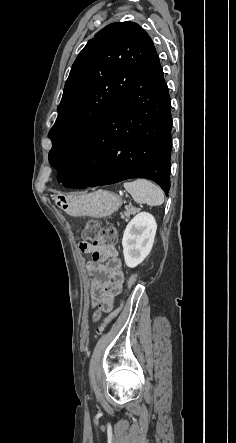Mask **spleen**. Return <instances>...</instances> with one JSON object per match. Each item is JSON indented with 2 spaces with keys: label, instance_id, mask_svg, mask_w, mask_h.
<instances>
[{
  "label": "spleen",
  "instance_id": "3e777b00",
  "mask_svg": "<svg viewBox=\"0 0 236 443\" xmlns=\"http://www.w3.org/2000/svg\"><path fill=\"white\" fill-rule=\"evenodd\" d=\"M124 188L129 194H131L134 201L139 204L160 206L164 202V194L162 190L148 180L137 179L133 182H125Z\"/></svg>",
  "mask_w": 236,
  "mask_h": 443
}]
</instances>
